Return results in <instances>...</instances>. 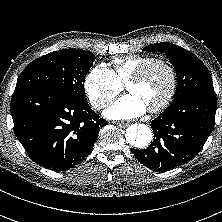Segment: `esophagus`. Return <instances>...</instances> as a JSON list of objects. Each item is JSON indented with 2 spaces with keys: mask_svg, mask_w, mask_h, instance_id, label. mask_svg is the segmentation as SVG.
Here are the masks:
<instances>
[{
  "mask_svg": "<svg viewBox=\"0 0 222 222\" xmlns=\"http://www.w3.org/2000/svg\"><path fill=\"white\" fill-rule=\"evenodd\" d=\"M118 126H119L120 128H125V127L128 126V124L121 122V123H118Z\"/></svg>",
  "mask_w": 222,
  "mask_h": 222,
  "instance_id": "34e87169",
  "label": "esophagus"
}]
</instances>
